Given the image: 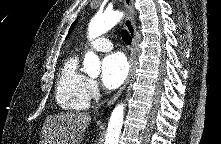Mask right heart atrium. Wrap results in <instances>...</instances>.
I'll return each instance as SVG.
<instances>
[{
	"instance_id": "right-heart-atrium-1",
	"label": "right heart atrium",
	"mask_w": 221,
	"mask_h": 144,
	"mask_svg": "<svg viewBox=\"0 0 221 144\" xmlns=\"http://www.w3.org/2000/svg\"><path fill=\"white\" fill-rule=\"evenodd\" d=\"M86 92L89 100H96L100 95V87L96 80L88 79Z\"/></svg>"
}]
</instances>
